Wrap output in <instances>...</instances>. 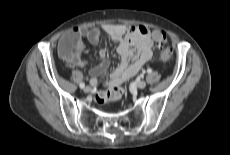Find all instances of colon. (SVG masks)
I'll return each mask as SVG.
<instances>
[{"mask_svg": "<svg viewBox=\"0 0 230 155\" xmlns=\"http://www.w3.org/2000/svg\"><path fill=\"white\" fill-rule=\"evenodd\" d=\"M153 36L160 49V60L162 62H167L171 57V50L166 47L165 32L158 30L154 32ZM78 45L79 38L74 34H68L62 39L59 46V52L64 58L72 59L76 53ZM122 94V89L119 86H114L105 91H98L95 95V101L100 105H104L109 102L120 100Z\"/></svg>", "mask_w": 230, "mask_h": 155, "instance_id": "obj_1", "label": "colon"}]
</instances>
